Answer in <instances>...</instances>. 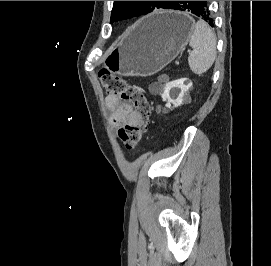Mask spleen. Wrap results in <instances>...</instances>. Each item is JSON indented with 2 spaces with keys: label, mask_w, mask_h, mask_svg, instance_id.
Wrapping results in <instances>:
<instances>
[{
  "label": "spleen",
  "mask_w": 271,
  "mask_h": 266,
  "mask_svg": "<svg viewBox=\"0 0 271 266\" xmlns=\"http://www.w3.org/2000/svg\"><path fill=\"white\" fill-rule=\"evenodd\" d=\"M189 45L193 48L188 57L189 67L200 76L211 68L216 58V36L203 20L194 23Z\"/></svg>",
  "instance_id": "3e777b00"
}]
</instances>
